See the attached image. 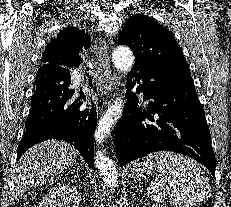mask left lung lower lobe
<instances>
[{
	"label": "left lung lower lobe",
	"mask_w": 231,
	"mask_h": 207,
	"mask_svg": "<svg viewBox=\"0 0 231 207\" xmlns=\"http://www.w3.org/2000/svg\"><path fill=\"white\" fill-rule=\"evenodd\" d=\"M136 93L151 99L138 107ZM128 101L116 125L115 143L121 166L148 153L168 150L204 164L215 177L210 131L192 78H179L145 61L135 62L126 85Z\"/></svg>",
	"instance_id": "1"
}]
</instances>
